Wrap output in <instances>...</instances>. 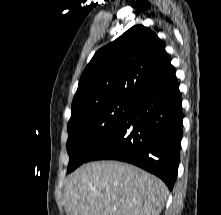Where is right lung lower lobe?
Returning <instances> with one entry per match:
<instances>
[{
	"label": "right lung lower lobe",
	"instance_id": "1",
	"mask_svg": "<svg viewBox=\"0 0 221 215\" xmlns=\"http://www.w3.org/2000/svg\"><path fill=\"white\" fill-rule=\"evenodd\" d=\"M181 103L176 76L145 91L86 162L105 159L128 162L158 176L172 190L182 138Z\"/></svg>",
	"mask_w": 221,
	"mask_h": 215
}]
</instances>
